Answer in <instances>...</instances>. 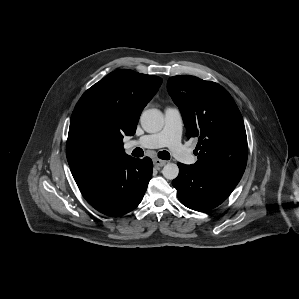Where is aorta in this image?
Wrapping results in <instances>:
<instances>
[{
	"instance_id": "762f6f07",
	"label": "aorta",
	"mask_w": 299,
	"mask_h": 299,
	"mask_svg": "<svg viewBox=\"0 0 299 299\" xmlns=\"http://www.w3.org/2000/svg\"><path fill=\"white\" fill-rule=\"evenodd\" d=\"M142 128L148 133L159 132L164 126V117L158 109L145 110L140 118ZM163 176L168 180L175 179L179 174V168L175 163H167L162 169Z\"/></svg>"
}]
</instances>
